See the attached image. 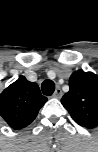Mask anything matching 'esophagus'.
<instances>
[{
	"label": "esophagus",
	"instance_id": "1",
	"mask_svg": "<svg viewBox=\"0 0 98 152\" xmlns=\"http://www.w3.org/2000/svg\"><path fill=\"white\" fill-rule=\"evenodd\" d=\"M61 96H62V90H61L60 87H57L56 90H55V92H54V94H53V97H55V98H61Z\"/></svg>",
	"mask_w": 98,
	"mask_h": 152
}]
</instances>
